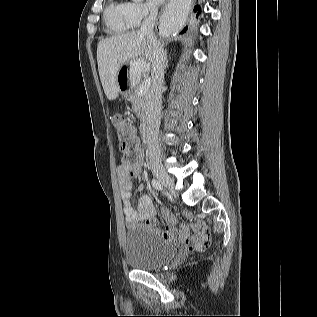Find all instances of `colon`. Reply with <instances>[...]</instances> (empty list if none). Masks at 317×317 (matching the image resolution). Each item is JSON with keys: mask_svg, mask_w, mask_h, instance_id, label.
<instances>
[{"mask_svg": "<svg viewBox=\"0 0 317 317\" xmlns=\"http://www.w3.org/2000/svg\"><path fill=\"white\" fill-rule=\"evenodd\" d=\"M113 123L117 130L119 147L124 154V162L130 175H136L140 162V153L138 149V141L131 124L121 114L113 116ZM209 244L208 235L201 241L190 242L188 248L191 251L202 250Z\"/></svg>", "mask_w": 317, "mask_h": 317, "instance_id": "1", "label": "colon"}]
</instances>
